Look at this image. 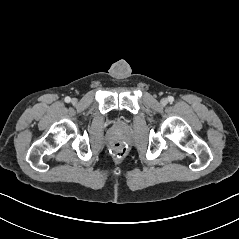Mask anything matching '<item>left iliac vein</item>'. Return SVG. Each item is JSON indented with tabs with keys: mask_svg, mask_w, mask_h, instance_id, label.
Listing matches in <instances>:
<instances>
[{
	"mask_svg": "<svg viewBox=\"0 0 239 239\" xmlns=\"http://www.w3.org/2000/svg\"><path fill=\"white\" fill-rule=\"evenodd\" d=\"M161 103H162L163 105L167 104V99H165V98L162 99V100H161Z\"/></svg>",
	"mask_w": 239,
	"mask_h": 239,
	"instance_id": "1",
	"label": "left iliac vein"
}]
</instances>
